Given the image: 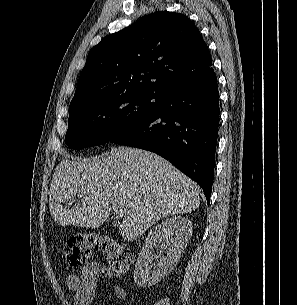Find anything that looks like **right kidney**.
<instances>
[{
	"instance_id": "obj_1",
	"label": "right kidney",
	"mask_w": 297,
	"mask_h": 305,
	"mask_svg": "<svg viewBox=\"0 0 297 305\" xmlns=\"http://www.w3.org/2000/svg\"><path fill=\"white\" fill-rule=\"evenodd\" d=\"M192 232L190 220L180 215L167 218L151 229L135 264L134 282L139 287L149 288L165 278L179 262ZM157 243H161L166 256L152 254L151 250ZM154 259H157V265L153 271H149L148 264Z\"/></svg>"
}]
</instances>
